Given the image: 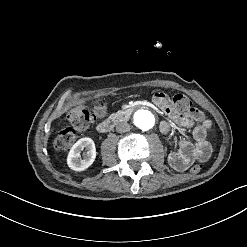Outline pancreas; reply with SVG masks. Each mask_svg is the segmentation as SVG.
Instances as JSON below:
<instances>
[{
  "instance_id": "pancreas-1",
  "label": "pancreas",
  "mask_w": 247,
  "mask_h": 247,
  "mask_svg": "<svg viewBox=\"0 0 247 247\" xmlns=\"http://www.w3.org/2000/svg\"><path fill=\"white\" fill-rule=\"evenodd\" d=\"M110 118H111V119L116 118V114H111V115H110Z\"/></svg>"
}]
</instances>
